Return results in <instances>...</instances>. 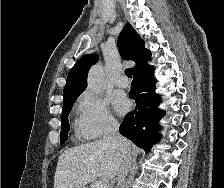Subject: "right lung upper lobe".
Masks as SVG:
<instances>
[{
	"label": "right lung upper lobe",
	"instance_id": "obj_1",
	"mask_svg": "<svg viewBox=\"0 0 224 188\" xmlns=\"http://www.w3.org/2000/svg\"><path fill=\"white\" fill-rule=\"evenodd\" d=\"M143 39L133 27L127 23L118 38V46L122 58L133 60L136 66L133 72L147 66L151 52L144 47ZM96 54L81 57L70 70L64 87V99L74 94L82 93L87 87V74L90 67L96 62Z\"/></svg>",
	"mask_w": 224,
	"mask_h": 188
}]
</instances>
